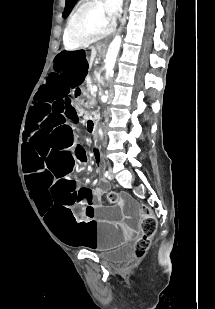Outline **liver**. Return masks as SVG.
I'll return each mask as SVG.
<instances>
[{
	"label": "liver",
	"instance_id": "1",
	"mask_svg": "<svg viewBox=\"0 0 215 309\" xmlns=\"http://www.w3.org/2000/svg\"><path fill=\"white\" fill-rule=\"evenodd\" d=\"M96 52H97V50H96L95 46H91V56H90V60H89V66H92V62H93V60L96 56Z\"/></svg>",
	"mask_w": 215,
	"mask_h": 309
}]
</instances>
